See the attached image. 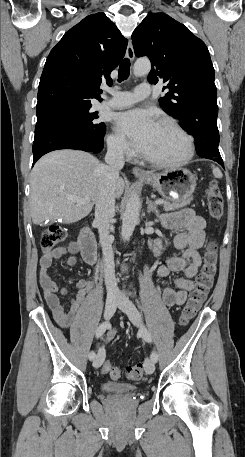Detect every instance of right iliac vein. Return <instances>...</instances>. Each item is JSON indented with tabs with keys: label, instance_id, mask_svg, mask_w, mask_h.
Listing matches in <instances>:
<instances>
[{
	"label": "right iliac vein",
	"instance_id": "obj_1",
	"mask_svg": "<svg viewBox=\"0 0 245 457\" xmlns=\"http://www.w3.org/2000/svg\"><path fill=\"white\" fill-rule=\"evenodd\" d=\"M118 300H119V298L117 296L109 297L106 300V303H105V318L106 319H110L112 317V315L114 314ZM104 359H105V351L103 348H101L98 350V354L93 362V366L95 368L100 367L102 365Z\"/></svg>",
	"mask_w": 245,
	"mask_h": 457
}]
</instances>
